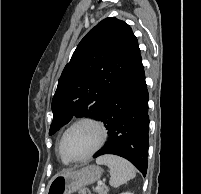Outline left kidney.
<instances>
[{
    "label": "left kidney",
    "mask_w": 201,
    "mask_h": 194,
    "mask_svg": "<svg viewBox=\"0 0 201 194\" xmlns=\"http://www.w3.org/2000/svg\"><path fill=\"white\" fill-rule=\"evenodd\" d=\"M121 194H133V193H130V192H125V193H121Z\"/></svg>",
    "instance_id": "left-kidney-1"
}]
</instances>
